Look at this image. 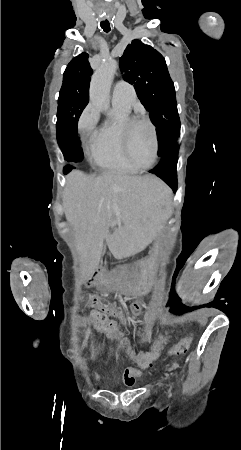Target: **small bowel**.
I'll use <instances>...</instances> for the list:
<instances>
[{
	"instance_id": "obj_1",
	"label": "small bowel",
	"mask_w": 241,
	"mask_h": 450,
	"mask_svg": "<svg viewBox=\"0 0 241 450\" xmlns=\"http://www.w3.org/2000/svg\"><path fill=\"white\" fill-rule=\"evenodd\" d=\"M91 286H96L98 288H100L103 291H108L111 288L110 283L105 282V283H101V285H91ZM89 287V286H88ZM89 302L90 303H96L98 302V298L91 296L89 297ZM134 303V302H132ZM145 304V301L143 299H138L136 301V304H132L131 305V310L134 311V315L136 316L137 314H139L140 316H143L145 313L143 311H140L139 313H137L136 311H139L141 309V306H143ZM96 311H101L103 316H105L107 318V323L106 324H114L115 323L113 321H111L108 316H116L119 317L121 316L122 318H127L129 316V311L127 309H122L120 311V313L112 306H104L101 308V310H96ZM116 326V325H115ZM114 333H119L117 328L116 331ZM106 335H108L109 333H105ZM161 348V347H160ZM139 374V372L134 369V368H127L125 371V375H124V382L127 386H132L135 380V377Z\"/></svg>"
}]
</instances>
